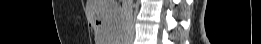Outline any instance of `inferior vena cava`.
Masks as SVG:
<instances>
[{"mask_svg":"<svg viewBox=\"0 0 261 44\" xmlns=\"http://www.w3.org/2000/svg\"><path fill=\"white\" fill-rule=\"evenodd\" d=\"M132 0H128L125 8L124 38L132 39L134 35Z\"/></svg>","mask_w":261,"mask_h":44,"instance_id":"obj_1","label":"inferior vena cava"}]
</instances>
